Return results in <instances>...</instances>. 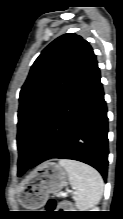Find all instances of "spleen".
<instances>
[{
  "instance_id": "1",
  "label": "spleen",
  "mask_w": 123,
  "mask_h": 219,
  "mask_svg": "<svg viewBox=\"0 0 123 219\" xmlns=\"http://www.w3.org/2000/svg\"><path fill=\"white\" fill-rule=\"evenodd\" d=\"M59 164L67 171L74 192L76 207L87 211L98 204L103 194L104 183L94 168L75 160L63 159Z\"/></svg>"
}]
</instances>
